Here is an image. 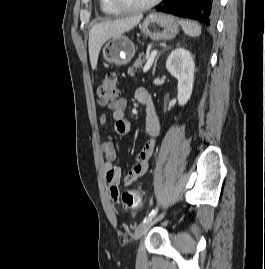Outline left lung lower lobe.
<instances>
[{
    "label": "left lung lower lobe",
    "instance_id": "obj_1",
    "mask_svg": "<svg viewBox=\"0 0 265 269\" xmlns=\"http://www.w3.org/2000/svg\"><path fill=\"white\" fill-rule=\"evenodd\" d=\"M218 9L219 0H167L157 11L198 20L209 26L215 20Z\"/></svg>",
    "mask_w": 265,
    "mask_h": 269
}]
</instances>
